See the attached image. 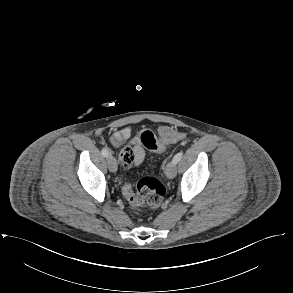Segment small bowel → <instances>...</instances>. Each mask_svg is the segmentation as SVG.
<instances>
[{"label":"small bowel","mask_w":293,"mask_h":293,"mask_svg":"<svg viewBox=\"0 0 293 293\" xmlns=\"http://www.w3.org/2000/svg\"><path fill=\"white\" fill-rule=\"evenodd\" d=\"M160 135L165 143H173L184 138L182 132H175L167 127H163L160 130ZM109 141L114 147H120L127 141H130V146L123 148L119 156L124 168L129 169L144 161L145 150L141 144L140 137H132V132L129 127L114 131Z\"/></svg>","instance_id":"small-bowel-1"}]
</instances>
